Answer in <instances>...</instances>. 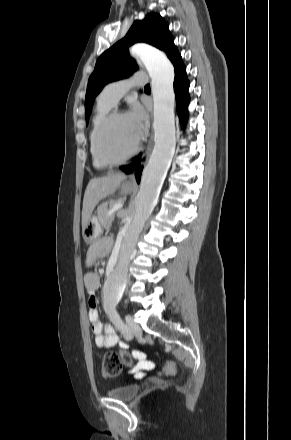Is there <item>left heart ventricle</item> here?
I'll list each match as a JSON object with an SVG mask.
<instances>
[{"label":"left heart ventricle","instance_id":"1","mask_svg":"<svg viewBox=\"0 0 291 440\" xmlns=\"http://www.w3.org/2000/svg\"><path fill=\"white\" fill-rule=\"evenodd\" d=\"M138 137L126 116L115 118L104 133V149L112 157L125 156L135 145Z\"/></svg>","mask_w":291,"mask_h":440}]
</instances>
